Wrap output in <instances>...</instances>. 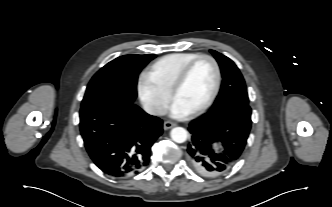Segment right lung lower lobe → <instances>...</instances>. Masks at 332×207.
Here are the masks:
<instances>
[{
    "label": "right lung lower lobe",
    "instance_id": "right-lung-lower-lobe-1",
    "mask_svg": "<svg viewBox=\"0 0 332 207\" xmlns=\"http://www.w3.org/2000/svg\"><path fill=\"white\" fill-rule=\"evenodd\" d=\"M80 132L93 162L104 173L126 177L144 169L163 122L125 100H105L80 110Z\"/></svg>",
    "mask_w": 332,
    "mask_h": 207
}]
</instances>
